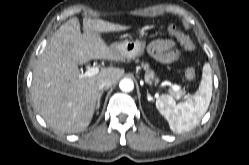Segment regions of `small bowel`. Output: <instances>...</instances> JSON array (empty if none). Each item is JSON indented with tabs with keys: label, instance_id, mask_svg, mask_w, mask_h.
I'll list each match as a JSON object with an SVG mask.
<instances>
[{
	"label": "small bowel",
	"instance_id": "c3829d8e",
	"mask_svg": "<svg viewBox=\"0 0 249 165\" xmlns=\"http://www.w3.org/2000/svg\"><path fill=\"white\" fill-rule=\"evenodd\" d=\"M151 55L162 63H169L178 58V51L170 40H157L149 45Z\"/></svg>",
	"mask_w": 249,
	"mask_h": 165
}]
</instances>
